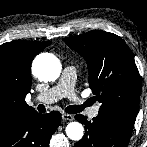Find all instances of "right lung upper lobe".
I'll return each mask as SVG.
<instances>
[{
	"instance_id": "cb5924a9",
	"label": "right lung upper lobe",
	"mask_w": 147,
	"mask_h": 147,
	"mask_svg": "<svg viewBox=\"0 0 147 147\" xmlns=\"http://www.w3.org/2000/svg\"><path fill=\"white\" fill-rule=\"evenodd\" d=\"M50 44V41L15 40L0 45V131L36 112L25 102L31 90V63Z\"/></svg>"
}]
</instances>
